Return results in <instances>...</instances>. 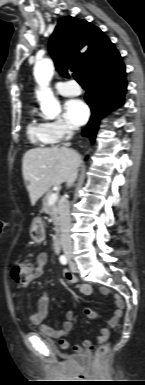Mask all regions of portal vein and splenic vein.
<instances>
[{
	"instance_id": "1",
	"label": "portal vein and splenic vein",
	"mask_w": 145,
	"mask_h": 385,
	"mask_svg": "<svg viewBox=\"0 0 145 385\" xmlns=\"http://www.w3.org/2000/svg\"><path fill=\"white\" fill-rule=\"evenodd\" d=\"M58 199V193H52L50 196H49V199H48V204L49 205H52L53 203H55Z\"/></svg>"
}]
</instances>
